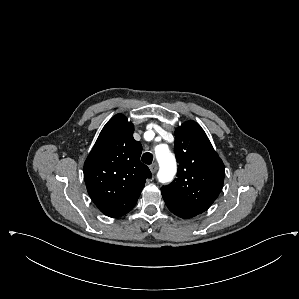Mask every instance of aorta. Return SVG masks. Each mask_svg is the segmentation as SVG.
<instances>
[{"instance_id":"1","label":"aorta","mask_w":299,"mask_h":299,"mask_svg":"<svg viewBox=\"0 0 299 299\" xmlns=\"http://www.w3.org/2000/svg\"><path fill=\"white\" fill-rule=\"evenodd\" d=\"M156 158L160 169L158 179L162 183L170 182L176 173V160L168 148L158 146L156 148Z\"/></svg>"}]
</instances>
